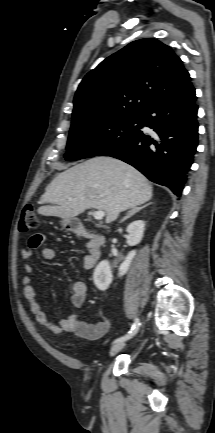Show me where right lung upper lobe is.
<instances>
[{
    "label": "right lung upper lobe",
    "mask_w": 215,
    "mask_h": 433,
    "mask_svg": "<svg viewBox=\"0 0 215 433\" xmlns=\"http://www.w3.org/2000/svg\"><path fill=\"white\" fill-rule=\"evenodd\" d=\"M189 82V73L171 47L152 38L134 41L82 80L74 98L72 125L142 116Z\"/></svg>",
    "instance_id": "obj_1"
}]
</instances>
